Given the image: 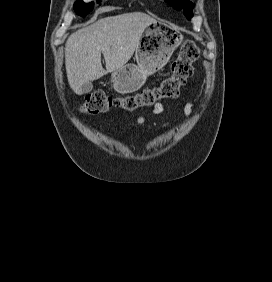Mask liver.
<instances>
[{
	"label": "liver",
	"mask_w": 272,
	"mask_h": 282,
	"mask_svg": "<svg viewBox=\"0 0 272 282\" xmlns=\"http://www.w3.org/2000/svg\"><path fill=\"white\" fill-rule=\"evenodd\" d=\"M155 22L141 12L125 13L102 18L70 35L65 44V66L71 89L81 95L84 84L122 68L133 56L146 27Z\"/></svg>",
	"instance_id": "6515ba94"
}]
</instances>
